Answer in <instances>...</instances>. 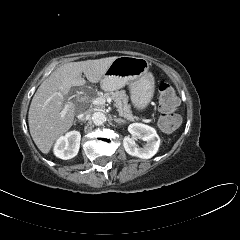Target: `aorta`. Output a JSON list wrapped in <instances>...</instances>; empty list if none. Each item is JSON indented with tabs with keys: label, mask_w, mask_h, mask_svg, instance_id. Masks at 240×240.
I'll return each instance as SVG.
<instances>
[{
	"label": "aorta",
	"mask_w": 240,
	"mask_h": 240,
	"mask_svg": "<svg viewBox=\"0 0 240 240\" xmlns=\"http://www.w3.org/2000/svg\"><path fill=\"white\" fill-rule=\"evenodd\" d=\"M92 121L95 125H102L106 121V117L102 112H95L92 115Z\"/></svg>",
	"instance_id": "aorta-1"
}]
</instances>
